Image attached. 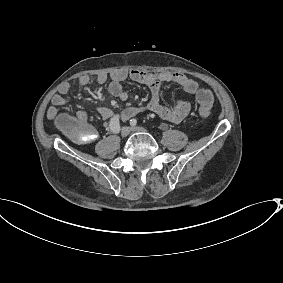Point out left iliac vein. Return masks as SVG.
Returning a JSON list of instances; mask_svg holds the SVG:
<instances>
[{"label": "left iliac vein", "mask_w": 283, "mask_h": 283, "mask_svg": "<svg viewBox=\"0 0 283 283\" xmlns=\"http://www.w3.org/2000/svg\"><path fill=\"white\" fill-rule=\"evenodd\" d=\"M131 130L134 131V132H144L145 131L144 128L138 127V126H132Z\"/></svg>", "instance_id": "4c4485c4"}]
</instances>
